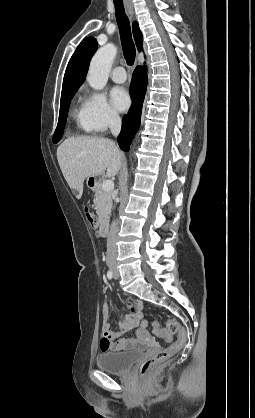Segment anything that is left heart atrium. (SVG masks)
<instances>
[{
    "mask_svg": "<svg viewBox=\"0 0 255 418\" xmlns=\"http://www.w3.org/2000/svg\"><path fill=\"white\" fill-rule=\"evenodd\" d=\"M114 107L119 111L126 110L130 105V97L122 87H114L110 93Z\"/></svg>",
    "mask_w": 255,
    "mask_h": 418,
    "instance_id": "obj_1",
    "label": "left heart atrium"
}]
</instances>
